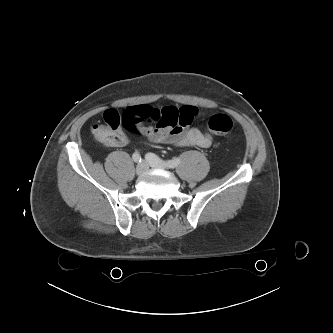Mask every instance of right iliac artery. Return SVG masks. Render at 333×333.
<instances>
[{"instance_id":"right-iliac-artery-1","label":"right iliac artery","mask_w":333,"mask_h":333,"mask_svg":"<svg viewBox=\"0 0 333 333\" xmlns=\"http://www.w3.org/2000/svg\"><path fill=\"white\" fill-rule=\"evenodd\" d=\"M132 158L135 162H141V156L138 152H135L133 155H132Z\"/></svg>"}]
</instances>
